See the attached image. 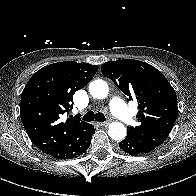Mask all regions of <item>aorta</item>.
Returning <instances> with one entry per match:
<instances>
[{"label":"aorta","mask_w":196,"mask_h":196,"mask_svg":"<svg viewBox=\"0 0 196 196\" xmlns=\"http://www.w3.org/2000/svg\"><path fill=\"white\" fill-rule=\"evenodd\" d=\"M89 92L96 99H104L109 92L108 84L104 80H94L89 84ZM108 134L113 140H123L126 137V127L120 122H112Z\"/></svg>","instance_id":"obj_1"}]
</instances>
